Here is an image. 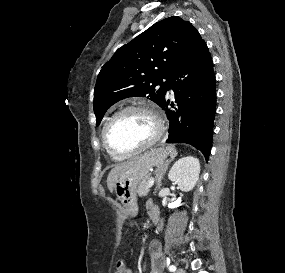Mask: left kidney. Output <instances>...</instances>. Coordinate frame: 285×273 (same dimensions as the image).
<instances>
[{
    "mask_svg": "<svg viewBox=\"0 0 285 273\" xmlns=\"http://www.w3.org/2000/svg\"><path fill=\"white\" fill-rule=\"evenodd\" d=\"M200 163L197 158L187 156L179 159L169 171L168 178L178 185L181 191L192 190L198 181Z\"/></svg>",
    "mask_w": 285,
    "mask_h": 273,
    "instance_id": "1",
    "label": "left kidney"
}]
</instances>
